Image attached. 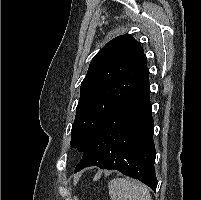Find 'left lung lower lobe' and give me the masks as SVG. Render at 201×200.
Returning a JSON list of instances; mask_svg holds the SVG:
<instances>
[{"instance_id": "1", "label": "left lung lower lobe", "mask_w": 201, "mask_h": 200, "mask_svg": "<svg viewBox=\"0 0 201 200\" xmlns=\"http://www.w3.org/2000/svg\"><path fill=\"white\" fill-rule=\"evenodd\" d=\"M149 75L108 114L75 172L89 166L114 169L156 191V151Z\"/></svg>"}]
</instances>
